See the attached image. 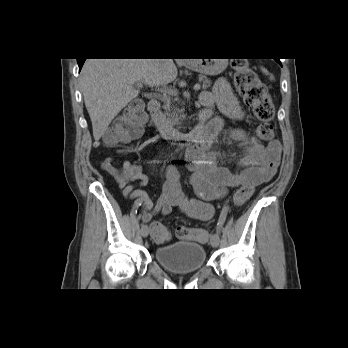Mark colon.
Here are the masks:
<instances>
[{"mask_svg":"<svg viewBox=\"0 0 348 348\" xmlns=\"http://www.w3.org/2000/svg\"><path fill=\"white\" fill-rule=\"evenodd\" d=\"M233 81L244 102L251 107L260 124L255 130L256 141H269L274 137L275 128L272 124L274 105L267 86L259 79L247 60L236 59L233 64ZM146 121L144 107L134 102L118 115L110 127L105 130L102 140L105 146L112 147L140 136ZM110 161V160H109ZM253 186L242 185L233 196L235 206H242L252 195ZM153 239L164 243L170 239L167 227L159 222L151 224ZM176 235L181 240L206 242L208 233L204 230L180 226Z\"/></svg>","mask_w":348,"mask_h":348,"instance_id":"5ec220e1","label":"colon"}]
</instances>
